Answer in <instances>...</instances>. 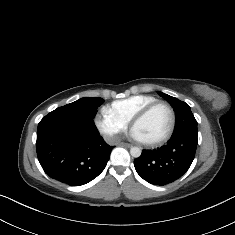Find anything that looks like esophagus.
<instances>
[{"mask_svg":"<svg viewBox=\"0 0 235 235\" xmlns=\"http://www.w3.org/2000/svg\"><path fill=\"white\" fill-rule=\"evenodd\" d=\"M119 146H123V147H131V144L126 143V142H121V143H119Z\"/></svg>","mask_w":235,"mask_h":235,"instance_id":"esophagus-1","label":"esophagus"}]
</instances>
